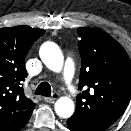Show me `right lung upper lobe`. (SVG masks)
<instances>
[{
	"label": "right lung upper lobe",
	"instance_id": "1",
	"mask_svg": "<svg viewBox=\"0 0 131 131\" xmlns=\"http://www.w3.org/2000/svg\"><path fill=\"white\" fill-rule=\"evenodd\" d=\"M44 34L29 26L0 28V131H19L31 117L35 103L24 94V59Z\"/></svg>",
	"mask_w": 131,
	"mask_h": 131
}]
</instances>
